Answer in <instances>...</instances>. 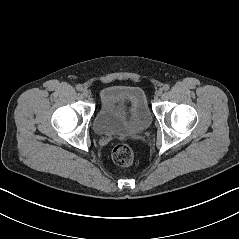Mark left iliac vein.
<instances>
[{"label":"left iliac vein","mask_w":239,"mask_h":239,"mask_svg":"<svg viewBox=\"0 0 239 239\" xmlns=\"http://www.w3.org/2000/svg\"><path fill=\"white\" fill-rule=\"evenodd\" d=\"M162 93H163V89L162 88H160L159 90L156 91V95L157 96H161Z\"/></svg>","instance_id":"4c4485c4"}]
</instances>
